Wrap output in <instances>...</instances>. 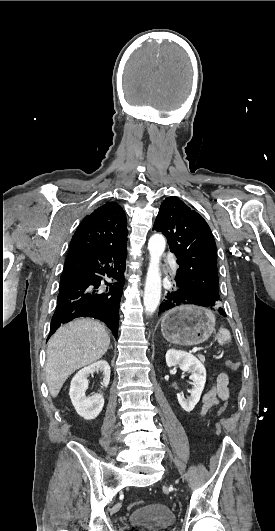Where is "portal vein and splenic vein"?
Returning <instances> with one entry per match:
<instances>
[{
  "label": "portal vein and splenic vein",
  "instance_id": "obj_1",
  "mask_svg": "<svg viewBox=\"0 0 275 531\" xmlns=\"http://www.w3.org/2000/svg\"><path fill=\"white\" fill-rule=\"evenodd\" d=\"M200 347H193L192 353L199 352Z\"/></svg>",
  "mask_w": 275,
  "mask_h": 531
}]
</instances>
